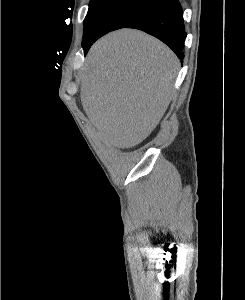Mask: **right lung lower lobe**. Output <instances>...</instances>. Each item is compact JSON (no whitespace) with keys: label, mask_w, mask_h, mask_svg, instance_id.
Here are the masks:
<instances>
[{"label":"right lung lower lobe","mask_w":245,"mask_h":300,"mask_svg":"<svg viewBox=\"0 0 245 300\" xmlns=\"http://www.w3.org/2000/svg\"><path fill=\"white\" fill-rule=\"evenodd\" d=\"M183 21V10L179 1L166 0L126 25L125 28L139 29L155 36L182 58L187 35ZM90 46L83 47L85 54Z\"/></svg>","instance_id":"98d812e1"}]
</instances>
